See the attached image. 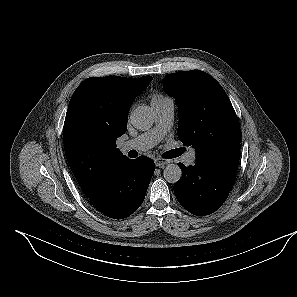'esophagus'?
Here are the masks:
<instances>
[{"label":"esophagus","instance_id":"1","mask_svg":"<svg viewBox=\"0 0 297 297\" xmlns=\"http://www.w3.org/2000/svg\"><path fill=\"white\" fill-rule=\"evenodd\" d=\"M154 162H155V165L157 166V167H164V166H166L167 164H169L170 163V160H166V159H163V158H156L155 160H154Z\"/></svg>","mask_w":297,"mask_h":297}]
</instances>
